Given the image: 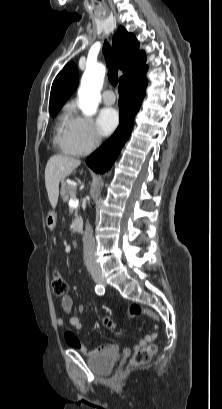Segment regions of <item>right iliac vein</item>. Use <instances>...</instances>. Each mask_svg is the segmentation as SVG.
Returning <instances> with one entry per match:
<instances>
[{"label":"right iliac vein","instance_id":"obj_1","mask_svg":"<svg viewBox=\"0 0 222 409\" xmlns=\"http://www.w3.org/2000/svg\"><path fill=\"white\" fill-rule=\"evenodd\" d=\"M93 279H94V281L97 282L98 284H101V285H105V284H106L105 279H104V277H103L101 274H95V275L93 276Z\"/></svg>","mask_w":222,"mask_h":409}]
</instances>
